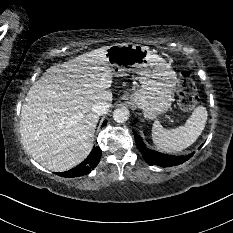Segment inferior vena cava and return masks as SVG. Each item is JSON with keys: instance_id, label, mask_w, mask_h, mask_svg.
I'll use <instances>...</instances> for the list:
<instances>
[{"instance_id": "obj_1", "label": "inferior vena cava", "mask_w": 233, "mask_h": 233, "mask_svg": "<svg viewBox=\"0 0 233 233\" xmlns=\"http://www.w3.org/2000/svg\"><path fill=\"white\" fill-rule=\"evenodd\" d=\"M109 104L106 102H98L92 107V112L97 115H104L109 109Z\"/></svg>"}]
</instances>
